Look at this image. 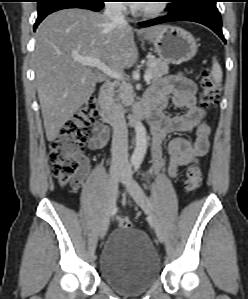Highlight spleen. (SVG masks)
I'll return each instance as SVG.
<instances>
[{"instance_id": "1", "label": "spleen", "mask_w": 248, "mask_h": 299, "mask_svg": "<svg viewBox=\"0 0 248 299\" xmlns=\"http://www.w3.org/2000/svg\"><path fill=\"white\" fill-rule=\"evenodd\" d=\"M211 76L213 77V80L217 83L222 81V69L215 58L213 59Z\"/></svg>"}]
</instances>
